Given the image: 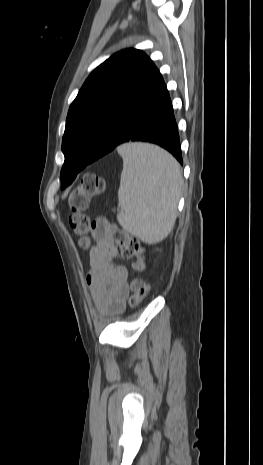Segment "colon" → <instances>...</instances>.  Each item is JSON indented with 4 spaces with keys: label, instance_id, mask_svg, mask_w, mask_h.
<instances>
[{
    "label": "colon",
    "instance_id": "colon-1",
    "mask_svg": "<svg viewBox=\"0 0 263 465\" xmlns=\"http://www.w3.org/2000/svg\"><path fill=\"white\" fill-rule=\"evenodd\" d=\"M106 189L105 180L96 173L83 175L78 186L70 193L68 203L71 209L69 224L76 235L80 237L79 244L83 248H89L90 235L94 236L97 228H107L114 242L119 246L125 257H135L134 267L141 271L144 268L143 249L141 244L126 232L117 227H109L104 220H91L86 215L90 199ZM148 291L146 281L135 277L130 284L129 305L135 307L145 298Z\"/></svg>",
    "mask_w": 263,
    "mask_h": 465
}]
</instances>
